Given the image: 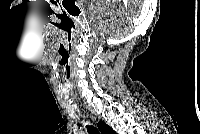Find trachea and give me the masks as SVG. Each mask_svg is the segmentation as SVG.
Wrapping results in <instances>:
<instances>
[{
  "label": "trachea",
  "mask_w": 200,
  "mask_h": 134,
  "mask_svg": "<svg viewBox=\"0 0 200 134\" xmlns=\"http://www.w3.org/2000/svg\"><path fill=\"white\" fill-rule=\"evenodd\" d=\"M86 128L89 134H99L98 130L93 126L87 125Z\"/></svg>",
  "instance_id": "obj_1"
}]
</instances>
